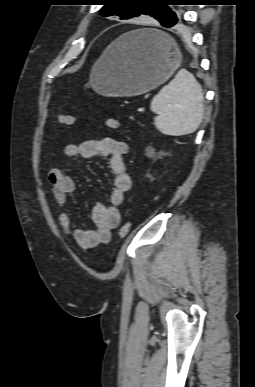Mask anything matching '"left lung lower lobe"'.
I'll list each match as a JSON object with an SVG mask.
<instances>
[{
    "label": "left lung lower lobe",
    "mask_w": 255,
    "mask_h": 387,
    "mask_svg": "<svg viewBox=\"0 0 255 387\" xmlns=\"http://www.w3.org/2000/svg\"><path fill=\"white\" fill-rule=\"evenodd\" d=\"M180 19L178 17L172 19L171 21H169L168 23L166 24H162L164 27H167V28H171L173 26H176L178 24H180Z\"/></svg>",
    "instance_id": "1"
}]
</instances>
